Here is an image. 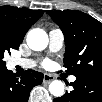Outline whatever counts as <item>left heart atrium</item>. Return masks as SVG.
<instances>
[{
	"label": "left heart atrium",
	"mask_w": 102,
	"mask_h": 102,
	"mask_svg": "<svg viewBox=\"0 0 102 102\" xmlns=\"http://www.w3.org/2000/svg\"><path fill=\"white\" fill-rule=\"evenodd\" d=\"M48 64H49V61H45V62L43 63V66L46 67Z\"/></svg>",
	"instance_id": "39dd6f15"
}]
</instances>
